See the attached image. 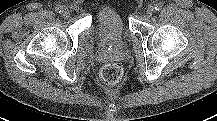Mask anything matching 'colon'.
<instances>
[{"mask_svg": "<svg viewBox=\"0 0 217 121\" xmlns=\"http://www.w3.org/2000/svg\"><path fill=\"white\" fill-rule=\"evenodd\" d=\"M100 76L105 84L113 85L122 79L123 69L118 63H107L101 68Z\"/></svg>", "mask_w": 217, "mask_h": 121, "instance_id": "obj_1", "label": "colon"}]
</instances>
